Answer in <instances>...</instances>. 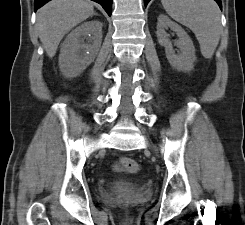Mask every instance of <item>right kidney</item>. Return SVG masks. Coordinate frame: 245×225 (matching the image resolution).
Wrapping results in <instances>:
<instances>
[{"mask_svg":"<svg viewBox=\"0 0 245 225\" xmlns=\"http://www.w3.org/2000/svg\"><path fill=\"white\" fill-rule=\"evenodd\" d=\"M102 42V23L88 21L65 39L59 55L60 71L66 78L79 76L95 59Z\"/></svg>","mask_w":245,"mask_h":225,"instance_id":"ca27d5eb","label":"right kidney"}]
</instances>
